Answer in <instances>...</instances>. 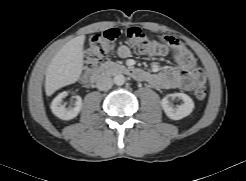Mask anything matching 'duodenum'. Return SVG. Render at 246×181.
Returning <instances> with one entry per match:
<instances>
[{
	"mask_svg": "<svg viewBox=\"0 0 246 181\" xmlns=\"http://www.w3.org/2000/svg\"><path fill=\"white\" fill-rule=\"evenodd\" d=\"M111 73L124 74L138 80H142L145 77V73L142 70L120 64L106 63L91 75L90 82L91 84H101L104 82L105 77Z\"/></svg>",
	"mask_w": 246,
	"mask_h": 181,
	"instance_id": "1",
	"label": "duodenum"
}]
</instances>
